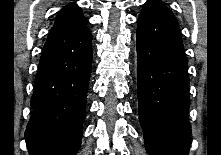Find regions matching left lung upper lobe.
I'll return each instance as SVG.
<instances>
[{
    "label": "left lung upper lobe",
    "mask_w": 221,
    "mask_h": 155,
    "mask_svg": "<svg viewBox=\"0 0 221 155\" xmlns=\"http://www.w3.org/2000/svg\"><path fill=\"white\" fill-rule=\"evenodd\" d=\"M146 3H154V4H158V5H161V6L165 7V8H167L165 6V4L162 1H159V0H148Z\"/></svg>",
    "instance_id": "1"
}]
</instances>
